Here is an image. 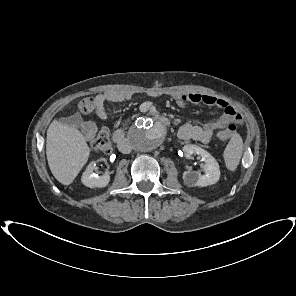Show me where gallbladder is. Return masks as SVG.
Masks as SVG:
<instances>
[{
  "mask_svg": "<svg viewBox=\"0 0 296 296\" xmlns=\"http://www.w3.org/2000/svg\"><path fill=\"white\" fill-rule=\"evenodd\" d=\"M59 121H60V123L68 125V126L79 127L82 124L83 119H82L81 115L74 114L69 117L61 118Z\"/></svg>",
  "mask_w": 296,
  "mask_h": 296,
  "instance_id": "1",
  "label": "gallbladder"
}]
</instances>
